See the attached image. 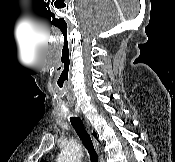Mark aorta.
Instances as JSON below:
<instances>
[{
  "label": "aorta",
  "instance_id": "762f6f07",
  "mask_svg": "<svg viewBox=\"0 0 175 162\" xmlns=\"http://www.w3.org/2000/svg\"><path fill=\"white\" fill-rule=\"evenodd\" d=\"M83 149L76 142H70L58 156L57 162H81Z\"/></svg>",
  "mask_w": 175,
  "mask_h": 162
}]
</instances>
